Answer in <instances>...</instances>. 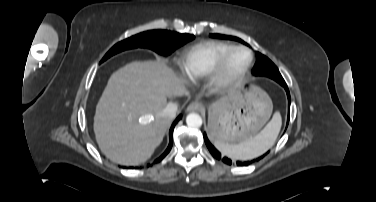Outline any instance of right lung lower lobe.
<instances>
[{
  "mask_svg": "<svg viewBox=\"0 0 376 202\" xmlns=\"http://www.w3.org/2000/svg\"><path fill=\"white\" fill-rule=\"evenodd\" d=\"M181 115H179L178 117H177V119L173 122V124H172V126H171V128H170V132H169V135H170V141H169V145H168V147H167V149H166V151L158 158V159H156L154 162L155 163H157V162H160L168 153H169V151L171 150V148H172V144H173V130H174V127H175V125H176V123L181 119Z\"/></svg>",
  "mask_w": 376,
  "mask_h": 202,
  "instance_id": "98d812e1",
  "label": "right lung lower lobe"
}]
</instances>
